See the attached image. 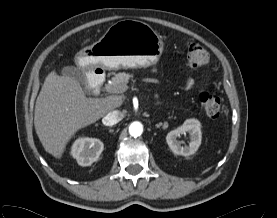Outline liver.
Listing matches in <instances>:
<instances>
[{"label": "liver", "mask_w": 277, "mask_h": 218, "mask_svg": "<svg viewBox=\"0 0 277 218\" xmlns=\"http://www.w3.org/2000/svg\"><path fill=\"white\" fill-rule=\"evenodd\" d=\"M122 97L87 98L79 82L51 72L35 104L34 126L46 152L61 158L67 142L81 128L121 106Z\"/></svg>", "instance_id": "obj_1"}]
</instances>
